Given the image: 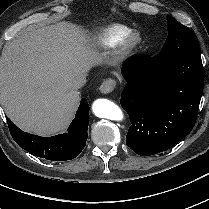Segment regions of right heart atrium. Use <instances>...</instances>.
Here are the masks:
<instances>
[{"label":"right heart atrium","mask_w":209,"mask_h":209,"mask_svg":"<svg viewBox=\"0 0 209 209\" xmlns=\"http://www.w3.org/2000/svg\"><path fill=\"white\" fill-rule=\"evenodd\" d=\"M77 76H78L77 71L70 69L66 76V82L72 83L77 78Z\"/></svg>","instance_id":"right-heart-atrium-1"}]
</instances>
